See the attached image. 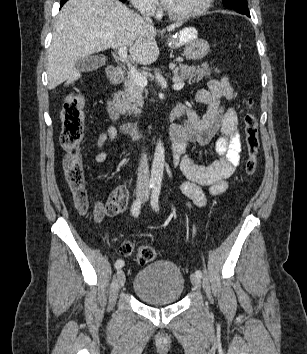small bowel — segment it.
<instances>
[{"label":"small bowel","instance_id":"small-bowel-1","mask_svg":"<svg viewBox=\"0 0 307 354\" xmlns=\"http://www.w3.org/2000/svg\"><path fill=\"white\" fill-rule=\"evenodd\" d=\"M233 95L232 87L227 77L212 79L207 89L196 92L194 101L205 104L207 111L199 116L194 108L177 105L175 116L183 119L182 125L172 126L169 138L172 144L173 163L178 166L186 179L179 183L181 193L189 199L188 206L203 207L209 196H218L227 189V179L234 173L240 163L241 140L238 132V119L232 109H224L222 101ZM221 135L215 142V151L218 159L206 165H198L188 154L194 145L209 143L215 134ZM118 135L114 125L103 130L96 142L98 152L94 156L97 163L107 160L109 150L105 148L107 142H113ZM131 180L128 178L124 186L110 192L103 208L106 215L114 216L127 208L129 195L127 187ZM208 188V192L204 191Z\"/></svg>","mask_w":307,"mask_h":354}]
</instances>
